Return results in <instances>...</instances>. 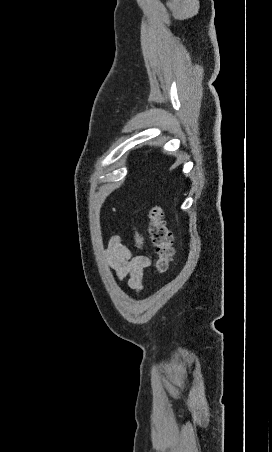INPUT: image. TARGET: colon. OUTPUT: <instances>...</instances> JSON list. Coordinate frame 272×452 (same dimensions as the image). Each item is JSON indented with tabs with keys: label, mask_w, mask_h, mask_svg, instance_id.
Wrapping results in <instances>:
<instances>
[{
	"label": "colon",
	"mask_w": 272,
	"mask_h": 452,
	"mask_svg": "<svg viewBox=\"0 0 272 452\" xmlns=\"http://www.w3.org/2000/svg\"><path fill=\"white\" fill-rule=\"evenodd\" d=\"M149 233L156 250V270L160 274L168 271L173 256V238L164 220L160 206L154 205L149 211Z\"/></svg>",
	"instance_id": "1"
}]
</instances>
